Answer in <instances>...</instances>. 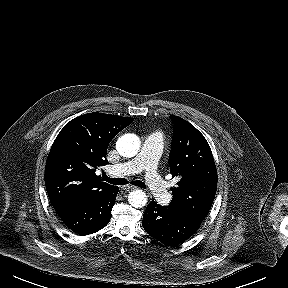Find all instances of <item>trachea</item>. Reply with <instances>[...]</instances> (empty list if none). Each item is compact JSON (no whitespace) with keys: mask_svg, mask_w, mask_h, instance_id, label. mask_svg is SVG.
<instances>
[{"mask_svg":"<svg viewBox=\"0 0 288 288\" xmlns=\"http://www.w3.org/2000/svg\"><path fill=\"white\" fill-rule=\"evenodd\" d=\"M103 179L104 181L110 183V184H114V185H125L128 184V181L124 178H110L108 177L106 174H103ZM132 185L141 187V188H146V185L144 182L136 180V181H132L131 182Z\"/></svg>","mask_w":288,"mask_h":288,"instance_id":"1","label":"trachea"}]
</instances>
